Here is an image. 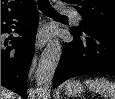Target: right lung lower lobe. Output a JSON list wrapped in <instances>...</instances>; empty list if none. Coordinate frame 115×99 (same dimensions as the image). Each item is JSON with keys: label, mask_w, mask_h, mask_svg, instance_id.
<instances>
[{"label": "right lung lower lobe", "mask_w": 115, "mask_h": 99, "mask_svg": "<svg viewBox=\"0 0 115 99\" xmlns=\"http://www.w3.org/2000/svg\"><path fill=\"white\" fill-rule=\"evenodd\" d=\"M13 19L19 20L16 30L19 37L11 39L12 46H6L8 40L1 38V86L27 98V75L34 54L35 36L39 21L35 4L29 5L19 14L1 19V35L10 33Z\"/></svg>", "instance_id": "1"}]
</instances>
